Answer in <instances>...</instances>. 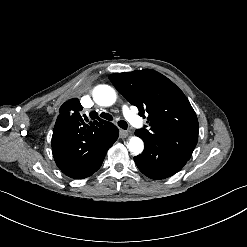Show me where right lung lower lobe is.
<instances>
[{
    "mask_svg": "<svg viewBox=\"0 0 247 247\" xmlns=\"http://www.w3.org/2000/svg\"><path fill=\"white\" fill-rule=\"evenodd\" d=\"M118 129L109 139L95 145L85 144L72 133H62L52 137V152L58 168L67 176L83 179L99 170L107 150L117 140Z\"/></svg>",
    "mask_w": 247,
    "mask_h": 247,
    "instance_id": "98d812e1",
    "label": "right lung lower lobe"
}]
</instances>
